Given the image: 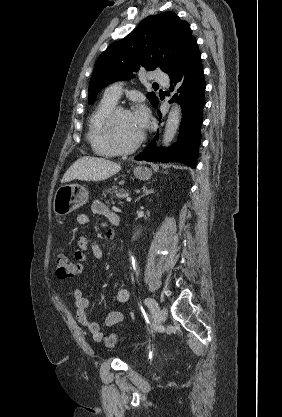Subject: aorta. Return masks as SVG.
Returning a JSON list of instances; mask_svg holds the SVG:
<instances>
[{
	"instance_id": "aorta-1",
	"label": "aorta",
	"mask_w": 282,
	"mask_h": 417,
	"mask_svg": "<svg viewBox=\"0 0 282 417\" xmlns=\"http://www.w3.org/2000/svg\"><path fill=\"white\" fill-rule=\"evenodd\" d=\"M180 118H181V108L179 104H174V106H172L168 114L167 122L165 124V130L163 134L164 146H168L171 140H173L178 130V126L180 124Z\"/></svg>"
}]
</instances>
